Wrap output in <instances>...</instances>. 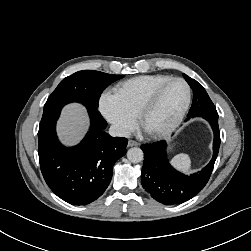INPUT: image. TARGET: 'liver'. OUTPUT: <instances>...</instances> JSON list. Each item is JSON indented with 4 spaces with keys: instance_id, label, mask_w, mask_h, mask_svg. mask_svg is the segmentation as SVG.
I'll list each match as a JSON object with an SVG mask.
<instances>
[{
    "instance_id": "6515ba94",
    "label": "liver",
    "mask_w": 251,
    "mask_h": 251,
    "mask_svg": "<svg viewBox=\"0 0 251 251\" xmlns=\"http://www.w3.org/2000/svg\"><path fill=\"white\" fill-rule=\"evenodd\" d=\"M89 127L86 108L78 103L65 106L57 123V133L65 145L77 144Z\"/></svg>"
}]
</instances>
